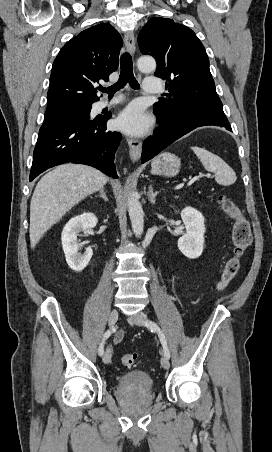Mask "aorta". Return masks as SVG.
<instances>
[{
	"mask_svg": "<svg viewBox=\"0 0 272 452\" xmlns=\"http://www.w3.org/2000/svg\"><path fill=\"white\" fill-rule=\"evenodd\" d=\"M137 66L142 72H152L156 69V61L152 57H140ZM128 213L132 230L136 237H140L144 229V212L142 205L134 192H130L127 198Z\"/></svg>",
	"mask_w": 272,
	"mask_h": 452,
	"instance_id": "obj_1",
	"label": "aorta"
}]
</instances>
